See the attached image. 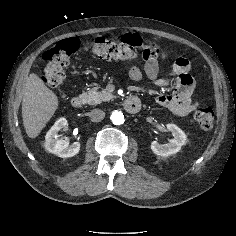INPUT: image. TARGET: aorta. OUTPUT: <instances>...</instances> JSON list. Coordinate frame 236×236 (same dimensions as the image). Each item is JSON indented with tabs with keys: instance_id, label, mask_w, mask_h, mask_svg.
<instances>
[{
	"instance_id": "1",
	"label": "aorta",
	"mask_w": 236,
	"mask_h": 236,
	"mask_svg": "<svg viewBox=\"0 0 236 236\" xmlns=\"http://www.w3.org/2000/svg\"><path fill=\"white\" fill-rule=\"evenodd\" d=\"M111 121L115 125H121L124 123V115L122 112L114 111L110 117Z\"/></svg>"
}]
</instances>
